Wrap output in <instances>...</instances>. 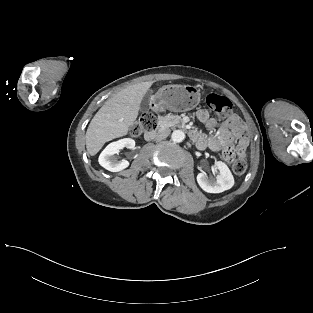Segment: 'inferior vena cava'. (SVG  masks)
<instances>
[{"instance_id": "inferior-vena-cava-1", "label": "inferior vena cava", "mask_w": 313, "mask_h": 313, "mask_svg": "<svg viewBox=\"0 0 313 313\" xmlns=\"http://www.w3.org/2000/svg\"><path fill=\"white\" fill-rule=\"evenodd\" d=\"M169 133H170L169 130H163V131H161L155 135V139L156 140H162V139L166 138L169 135Z\"/></svg>"}]
</instances>
